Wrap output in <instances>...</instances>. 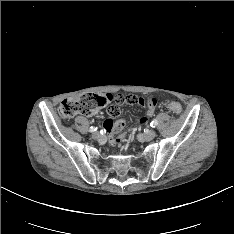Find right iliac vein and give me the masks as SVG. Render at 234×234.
<instances>
[{
    "label": "right iliac vein",
    "mask_w": 234,
    "mask_h": 234,
    "mask_svg": "<svg viewBox=\"0 0 234 234\" xmlns=\"http://www.w3.org/2000/svg\"><path fill=\"white\" fill-rule=\"evenodd\" d=\"M101 134L99 132H95L92 134V138L95 140H99L101 138Z\"/></svg>",
    "instance_id": "obj_1"
}]
</instances>
